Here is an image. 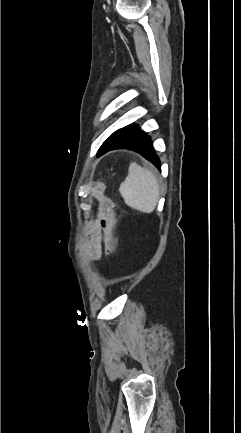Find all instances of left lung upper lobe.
<instances>
[{
    "label": "left lung upper lobe",
    "mask_w": 241,
    "mask_h": 433,
    "mask_svg": "<svg viewBox=\"0 0 241 433\" xmlns=\"http://www.w3.org/2000/svg\"><path fill=\"white\" fill-rule=\"evenodd\" d=\"M146 135L138 126L129 125L114 132L101 146L98 151L102 155L110 150L127 145Z\"/></svg>",
    "instance_id": "obj_1"
}]
</instances>
